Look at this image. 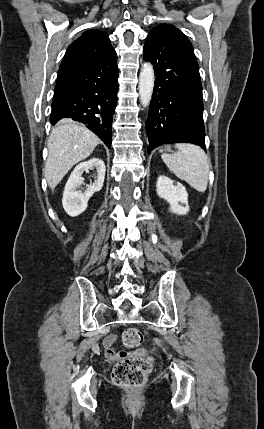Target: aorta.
<instances>
[{
  "instance_id": "aorta-1",
  "label": "aorta",
  "mask_w": 264,
  "mask_h": 429,
  "mask_svg": "<svg viewBox=\"0 0 264 429\" xmlns=\"http://www.w3.org/2000/svg\"><path fill=\"white\" fill-rule=\"evenodd\" d=\"M154 81L155 76L153 66L151 63L146 62L141 68L138 85L140 102L144 107H147L150 104L154 88Z\"/></svg>"
}]
</instances>
